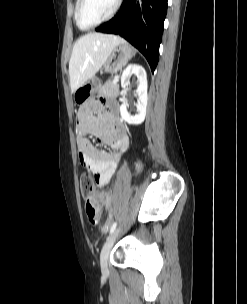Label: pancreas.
Instances as JSON below:
<instances>
[{"mask_svg":"<svg viewBox=\"0 0 247 304\" xmlns=\"http://www.w3.org/2000/svg\"><path fill=\"white\" fill-rule=\"evenodd\" d=\"M98 94L105 97H117L119 94V84L108 80L104 85L98 87Z\"/></svg>","mask_w":247,"mask_h":304,"instance_id":"cf45deb5","label":"pancreas"}]
</instances>
